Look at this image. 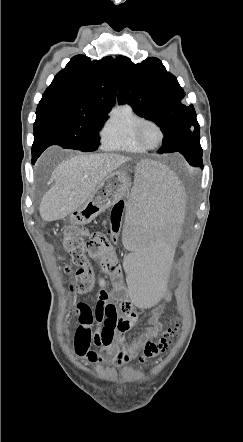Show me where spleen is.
I'll return each instance as SVG.
<instances>
[{"mask_svg": "<svg viewBox=\"0 0 243 442\" xmlns=\"http://www.w3.org/2000/svg\"><path fill=\"white\" fill-rule=\"evenodd\" d=\"M134 182L126 205L122 237L129 248L123 259L124 273L130 280L125 289L133 307H156L169 285L171 258L181 242L180 226H187L185 193L166 163H137Z\"/></svg>", "mask_w": 243, "mask_h": 442, "instance_id": "1", "label": "spleen"}]
</instances>
